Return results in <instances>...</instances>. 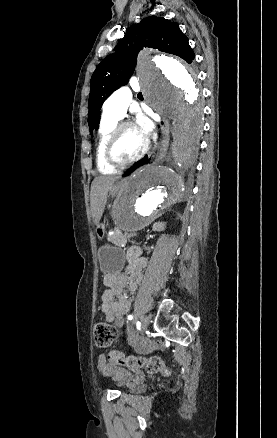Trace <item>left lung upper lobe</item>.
<instances>
[{"instance_id": "left-lung-upper-lobe-1", "label": "left lung upper lobe", "mask_w": 277, "mask_h": 438, "mask_svg": "<svg viewBox=\"0 0 277 438\" xmlns=\"http://www.w3.org/2000/svg\"><path fill=\"white\" fill-rule=\"evenodd\" d=\"M115 52L108 55L94 71L90 82L88 125L90 131L98 129L103 102L132 76L137 54L143 47L177 55L187 63L195 58L188 38L177 23L165 18L149 16L126 30L118 40Z\"/></svg>"}]
</instances>
